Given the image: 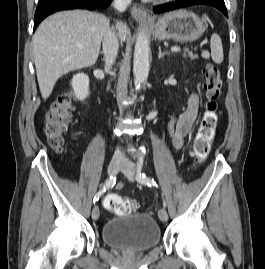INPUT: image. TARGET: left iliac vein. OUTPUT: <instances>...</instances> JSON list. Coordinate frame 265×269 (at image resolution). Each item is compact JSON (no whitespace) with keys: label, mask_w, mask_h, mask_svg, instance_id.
<instances>
[{"label":"left iliac vein","mask_w":265,"mask_h":269,"mask_svg":"<svg viewBox=\"0 0 265 269\" xmlns=\"http://www.w3.org/2000/svg\"><path fill=\"white\" fill-rule=\"evenodd\" d=\"M121 171L130 181H134L136 170L134 164L131 161L124 160L122 163ZM158 216L162 222H166L168 220V214L164 208L159 209Z\"/></svg>","instance_id":"left-iliac-vein-1"}]
</instances>
